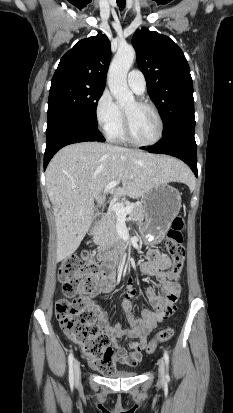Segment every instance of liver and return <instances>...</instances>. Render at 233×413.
<instances>
[{
    "mask_svg": "<svg viewBox=\"0 0 233 413\" xmlns=\"http://www.w3.org/2000/svg\"><path fill=\"white\" fill-rule=\"evenodd\" d=\"M188 174L185 164L174 158L111 144L81 142L62 148L46 170L57 262L80 246L92 223L94 202H104L107 184L120 180L122 185L111 191L114 196L139 198L156 185L183 181Z\"/></svg>",
    "mask_w": 233,
    "mask_h": 413,
    "instance_id": "6515ba94",
    "label": "liver"
}]
</instances>
